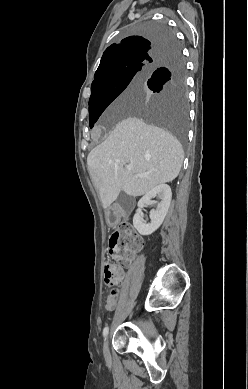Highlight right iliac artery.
<instances>
[{
	"label": "right iliac artery",
	"mask_w": 248,
	"mask_h": 389,
	"mask_svg": "<svg viewBox=\"0 0 248 389\" xmlns=\"http://www.w3.org/2000/svg\"><path fill=\"white\" fill-rule=\"evenodd\" d=\"M108 332H109V328L105 327L103 330V336L106 337L108 335Z\"/></svg>",
	"instance_id": "obj_1"
}]
</instances>
